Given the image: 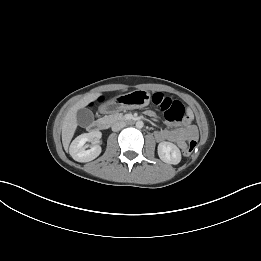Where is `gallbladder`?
Masks as SVG:
<instances>
[{"mask_svg":"<svg viewBox=\"0 0 261 261\" xmlns=\"http://www.w3.org/2000/svg\"><path fill=\"white\" fill-rule=\"evenodd\" d=\"M77 119L80 126L88 127L93 123L94 115L91 110L82 108L77 112Z\"/></svg>","mask_w":261,"mask_h":261,"instance_id":"bac80fb5","label":"gallbladder"}]
</instances>
